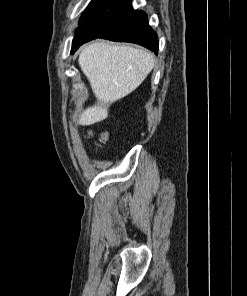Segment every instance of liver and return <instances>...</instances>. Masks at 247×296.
Listing matches in <instances>:
<instances>
[{"mask_svg": "<svg viewBox=\"0 0 247 296\" xmlns=\"http://www.w3.org/2000/svg\"><path fill=\"white\" fill-rule=\"evenodd\" d=\"M154 62L153 54L131 46L99 41L85 47L78 63L97 103L80 114L78 123L92 125L106 119L109 106L133 92L151 72Z\"/></svg>", "mask_w": 247, "mask_h": 296, "instance_id": "1", "label": "liver"}]
</instances>
